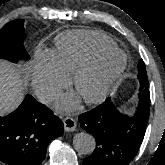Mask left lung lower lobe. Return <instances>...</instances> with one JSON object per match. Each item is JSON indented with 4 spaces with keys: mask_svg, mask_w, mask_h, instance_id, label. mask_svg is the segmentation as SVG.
<instances>
[{
    "mask_svg": "<svg viewBox=\"0 0 165 165\" xmlns=\"http://www.w3.org/2000/svg\"><path fill=\"white\" fill-rule=\"evenodd\" d=\"M149 110L138 107L129 117L120 113L107 99L81 114V127L96 140L94 152L83 159V165H128L143 141Z\"/></svg>",
    "mask_w": 165,
    "mask_h": 165,
    "instance_id": "0a47b994",
    "label": "left lung lower lobe"
}]
</instances>
